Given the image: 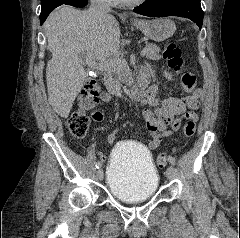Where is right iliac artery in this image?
<instances>
[{"instance_id": "obj_1", "label": "right iliac artery", "mask_w": 240, "mask_h": 238, "mask_svg": "<svg viewBox=\"0 0 240 238\" xmlns=\"http://www.w3.org/2000/svg\"><path fill=\"white\" fill-rule=\"evenodd\" d=\"M101 166H102V163H101L100 161H98V162L96 163V168L99 169Z\"/></svg>"}]
</instances>
